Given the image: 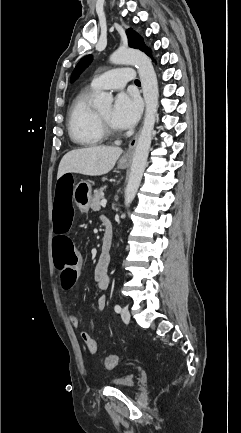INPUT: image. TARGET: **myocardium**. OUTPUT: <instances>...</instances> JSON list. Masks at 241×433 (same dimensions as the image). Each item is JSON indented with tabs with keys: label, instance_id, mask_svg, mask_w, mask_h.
<instances>
[{
	"label": "myocardium",
	"instance_id": "1",
	"mask_svg": "<svg viewBox=\"0 0 241 433\" xmlns=\"http://www.w3.org/2000/svg\"><path fill=\"white\" fill-rule=\"evenodd\" d=\"M99 128L105 137H112L118 134V131L112 127L100 114L96 112Z\"/></svg>",
	"mask_w": 241,
	"mask_h": 433
}]
</instances>
